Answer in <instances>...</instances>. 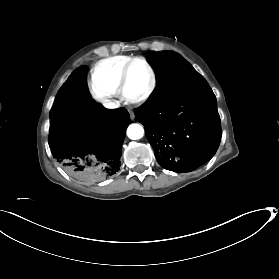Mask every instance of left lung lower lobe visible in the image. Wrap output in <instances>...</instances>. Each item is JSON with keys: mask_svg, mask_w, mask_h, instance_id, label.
I'll use <instances>...</instances> for the list:
<instances>
[{"mask_svg": "<svg viewBox=\"0 0 279 279\" xmlns=\"http://www.w3.org/2000/svg\"><path fill=\"white\" fill-rule=\"evenodd\" d=\"M158 163L175 172H190L216 153L221 140L216 98L203 77L156 106L135 110Z\"/></svg>", "mask_w": 279, "mask_h": 279, "instance_id": "left-lung-lower-lobe-1", "label": "left lung lower lobe"}]
</instances>
